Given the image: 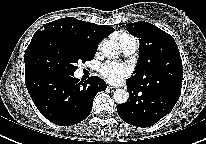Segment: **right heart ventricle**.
<instances>
[{
	"mask_svg": "<svg viewBox=\"0 0 206 144\" xmlns=\"http://www.w3.org/2000/svg\"><path fill=\"white\" fill-rule=\"evenodd\" d=\"M130 37H132V36H130V35L126 34V33H122L119 36V40H120V42H122L123 40H125L127 38H130Z\"/></svg>",
	"mask_w": 206,
	"mask_h": 144,
	"instance_id": "obj_1",
	"label": "right heart ventricle"
}]
</instances>
